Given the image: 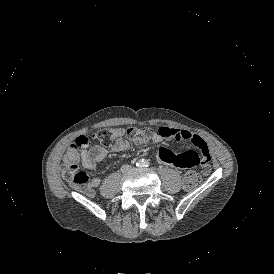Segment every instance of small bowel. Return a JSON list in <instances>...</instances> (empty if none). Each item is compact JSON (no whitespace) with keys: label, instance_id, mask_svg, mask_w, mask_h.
Returning a JSON list of instances; mask_svg holds the SVG:
<instances>
[{"label":"small bowel","instance_id":"small-bowel-1","mask_svg":"<svg viewBox=\"0 0 274 274\" xmlns=\"http://www.w3.org/2000/svg\"><path fill=\"white\" fill-rule=\"evenodd\" d=\"M174 138L179 141H189L194 146L189 148L177 147L175 150L168 148H160L159 160L161 163L168 167H176L178 173L183 174L187 170H194L197 165L201 164L200 170L202 173L207 174L214 169L215 164L210 160V152L206 142L198 134L187 130H178L169 127H160L152 134V142L159 145L163 140ZM129 147V142L122 138L117 137L112 146L113 152H122ZM81 163L84 168L94 170L99 162L105 159L107 149L102 145L88 146V143L82 144L81 147ZM99 178H94L90 182L91 187H97L100 184Z\"/></svg>","mask_w":274,"mask_h":274}]
</instances>
